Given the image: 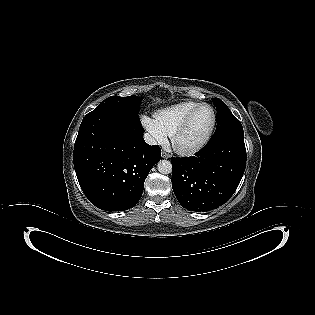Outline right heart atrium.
Listing matches in <instances>:
<instances>
[{
  "label": "right heart atrium",
  "mask_w": 315,
  "mask_h": 315,
  "mask_svg": "<svg viewBox=\"0 0 315 315\" xmlns=\"http://www.w3.org/2000/svg\"><path fill=\"white\" fill-rule=\"evenodd\" d=\"M142 125L146 129V131L150 134L152 140L160 145H164L168 141V135L165 131L160 127L155 118L149 116H143Z\"/></svg>",
  "instance_id": "obj_1"
}]
</instances>
